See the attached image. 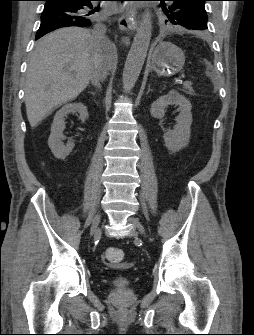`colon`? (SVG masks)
I'll return each instance as SVG.
<instances>
[{
    "label": "colon",
    "instance_id": "5ec220e1",
    "mask_svg": "<svg viewBox=\"0 0 254 335\" xmlns=\"http://www.w3.org/2000/svg\"><path fill=\"white\" fill-rule=\"evenodd\" d=\"M124 259V252L119 248H108L105 251L106 262L117 265L120 264Z\"/></svg>",
    "mask_w": 254,
    "mask_h": 335
}]
</instances>
